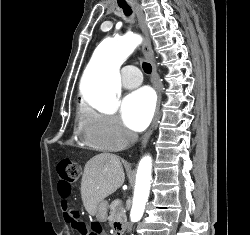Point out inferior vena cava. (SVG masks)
<instances>
[{
  "mask_svg": "<svg viewBox=\"0 0 250 235\" xmlns=\"http://www.w3.org/2000/svg\"><path fill=\"white\" fill-rule=\"evenodd\" d=\"M128 139H129L130 142L136 141V140H137V134H135V133H133V132H129V133H128ZM131 229H132V226L129 224V225L127 226V231H128V232H131Z\"/></svg>",
  "mask_w": 250,
  "mask_h": 235,
  "instance_id": "1",
  "label": "inferior vena cava"
}]
</instances>
